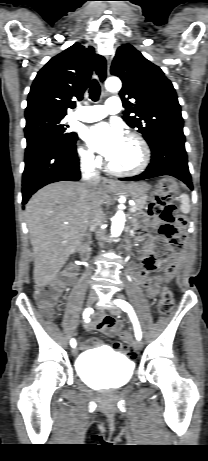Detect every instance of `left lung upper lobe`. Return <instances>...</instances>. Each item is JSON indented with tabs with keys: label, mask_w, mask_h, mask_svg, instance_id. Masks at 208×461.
<instances>
[{
	"label": "left lung upper lobe",
	"mask_w": 208,
	"mask_h": 461,
	"mask_svg": "<svg viewBox=\"0 0 208 461\" xmlns=\"http://www.w3.org/2000/svg\"><path fill=\"white\" fill-rule=\"evenodd\" d=\"M111 74L123 82L119 95L125 107L124 120L138 129L149 146L164 135H184L175 89L160 67L133 46L122 45L116 51ZM130 113L135 116L130 117Z\"/></svg>",
	"instance_id": "left-lung-upper-lobe-1"
}]
</instances>
